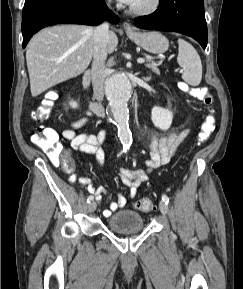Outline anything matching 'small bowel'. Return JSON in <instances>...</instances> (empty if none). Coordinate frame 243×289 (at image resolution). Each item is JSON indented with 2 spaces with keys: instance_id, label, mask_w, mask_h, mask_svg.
Wrapping results in <instances>:
<instances>
[{
  "instance_id": "c3829d8e",
  "label": "small bowel",
  "mask_w": 243,
  "mask_h": 289,
  "mask_svg": "<svg viewBox=\"0 0 243 289\" xmlns=\"http://www.w3.org/2000/svg\"><path fill=\"white\" fill-rule=\"evenodd\" d=\"M89 116V114H88ZM89 123V118L84 117L71 122L67 128L62 130L61 136L69 141L71 149L81 151L95 156L100 169L104 163V153L101 145L105 139V131L101 130L98 134L80 131V129ZM188 130H174L163 134H154L150 144V159L145 162V169H119V176L122 183L129 188L130 197L137 194L138 187L148 180V174L151 170L167 164L178 146L185 139ZM77 176L72 174L71 182H75ZM80 183L86 186L89 192L97 201L105 195L111 198V192L103 186H92L89 179L79 177ZM127 199L122 194H118L116 199L111 201L109 209L104 210L103 214L109 217L113 212L125 207Z\"/></svg>"
}]
</instances>
